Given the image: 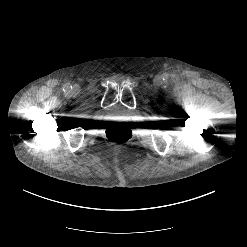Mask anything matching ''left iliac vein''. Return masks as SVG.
Instances as JSON below:
<instances>
[{
	"mask_svg": "<svg viewBox=\"0 0 247 247\" xmlns=\"http://www.w3.org/2000/svg\"><path fill=\"white\" fill-rule=\"evenodd\" d=\"M161 82H162L161 77H160V76H156L155 79H154V83H155L156 85H160Z\"/></svg>",
	"mask_w": 247,
	"mask_h": 247,
	"instance_id": "obj_1",
	"label": "left iliac vein"
}]
</instances>
